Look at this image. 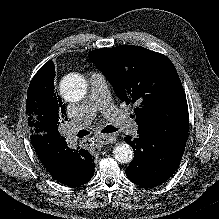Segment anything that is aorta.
Listing matches in <instances>:
<instances>
[{
  "mask_svg": "<svg viewBox=\"0 0 219 219\" xmlns=\"http://www.w3.org/2000/svg\"><path fill=\"white\" fill-rule=\"evenodd\" d=\"M86 90L87 83L85 79L76 74L65 77L60 86L63 98L69 102L81 100L85 96ZM113 154L117 162L127 164L132 161L134 153L128 144L121 143L114 148Z\"/></svg>",
  "mask_w": 219,
  "mask_h": 219,
  "instance_id": "1",
  "label": "aorta"
}]
</instances>
